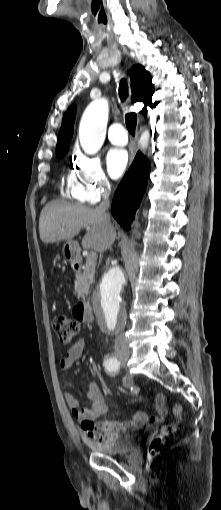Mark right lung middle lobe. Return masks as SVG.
Listing matches in <instances>:
<instances>
[{
  "instance_id": "obj_1",
  "label": "right lung middle lobe",
  "mask_w": 221,
  "mask_h": 510,
  "mask_svg": "<svg viewBox=\"0 0 221 510\" xmlns=\"http://www.w3.org/2000/svg\"><path fill=\"white\" fill-rule=\"evenodd\" d=\"M68 150H65V151H62V152H59V153H56L57 154V157L61 158L63 156H65V154L67 153Z\"/></svg>"
}]
</instances>
